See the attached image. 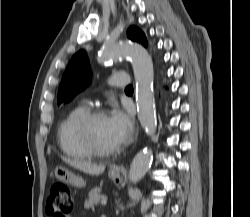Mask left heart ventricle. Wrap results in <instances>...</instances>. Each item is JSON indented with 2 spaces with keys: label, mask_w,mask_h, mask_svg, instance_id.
Masks as SVG:
<instances>
[{
  "label": "left heart ventricle",
  "mask_w": 250,
  "mask_h": 217,
  "mask_svg": "<svg viewBox=\"0 0 250 217\" xmlns=\"http://www.w3.org/2000/svg\"><path fill=\"white\" fill-rule=\"evenodd\" d=\"M96 142L103 148H116L119 146L109 126L106 116L98 118L92 127Z\"/></svg>",
  "instance_id": "1"
}]
</instances>
